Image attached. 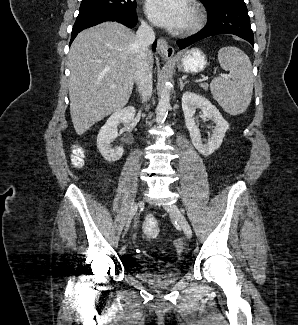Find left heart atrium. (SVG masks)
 Returning a JSON list of instances; mask_svg holds the SVG:
<instances>
[{
  "mask_svg": "<svg viewBox=\"0 0 298 325\" xmlns=\"http://www.w3.org/2000/svg\"><path fill=\"white\" fill-rule=\"evenodd\" d=\"M145 11L149 20L158 27L171 30L185 27L188 10L183 0H147Z\"/></svg>",
  "mask_w": 298,
  "mask_h": 325,
  "instance_id": "39dd6f15",
  "label": "left heart atrium"
}]
</instances>
